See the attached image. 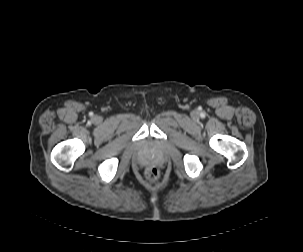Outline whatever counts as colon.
I'll return each instance as SVG.
<instances>
[{
	"label": "colon",
	"instance_id": "5ec220e1",
	"mask_svg": "<svg viewBox=\"0 0 303 252\" xmlns=\"http://www.w3.org/2000/svg\"><path fill=\"white\" fill-rule=\"evenodd\" d=\"M159 170L155 167H150L146 170V177L149 181L155 182L159 179Z\"/></svg>",
	"mask_w": 303,
	"mask_h": 252
}]
</instances>
